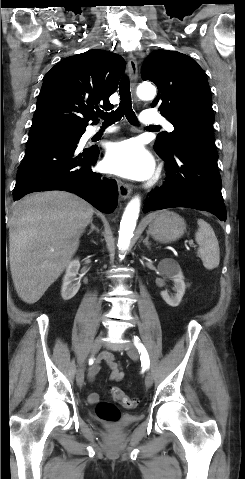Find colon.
Here are the masks:
<instances>
[{
	"instance_id": "1",
	"label": "colon",
	"mask_w": 245,
	"mask_h": 479,
	"mask_svg": "<svg viewBox=\"0 0 245 479\" xmlns=\"http://www.w3.org/2000/svg\"><path fill=\"white\" fill-rule=\"evenodd\" d=\"M109 393L113 402L124 408H133L137 403L136 399L129 397L118 387H111ZM96 415L104 421H117L120 418V412L117 407L107 401H102L97 404Z\"/></svg>"
}]
</instances>
